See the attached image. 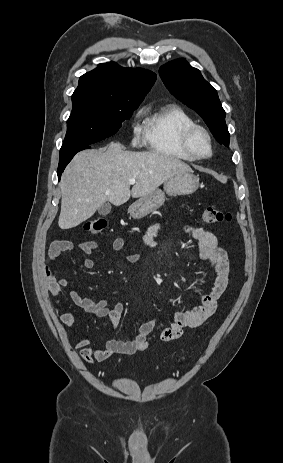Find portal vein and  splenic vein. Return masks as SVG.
<instances>
[{
	"mask_svg": "<svg viewBox=\"0 0 283 463\" xmlns=\"http://www.w3.org/2000/svg\"><path fill=\"white\" fill-rule=\"evenodd\" d=\"M129 183H130L131 185H134V184L136 183V180H135V179H130V180H129Z\"/></svg>",
	"mask_w": 283,
	"mask_h": 463,
	"instance_id": "obj_1",
	"label": "portal vein and splenic vein"
}]
</instances>
